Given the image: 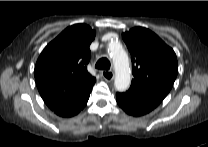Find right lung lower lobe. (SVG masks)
I'll list each match as a JSON object with an SVG mask.
<instances>
[{
  "label": "right lung lower lobe",
  "mask_w": 208,
  "mask_h": 147,
  "mask_svg": "<svg viewBox=\"0 0 208 147\" xmlns=\"http://www.w3.org/2000/svg\"><path fill=\"white\" fill-rule=\"evenodd\" d=\"M90 96V92L86 94L83 98H81L79 101L59 109L54 110V112L62 117H71L76 114H78L86 105L88 99Z\"/></svg>",
  "instance_id": "right-lung-lower-lobe-1"
}]
</instances>
